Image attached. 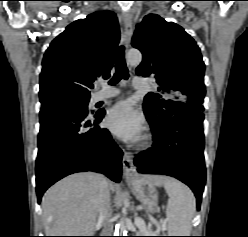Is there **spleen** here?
<instances>
[{
    "instance_id": "3e777b00",
    "label": "spleen",
    "mask_w": 248,
    "mask_h": 237,
    "mask_svg": "<svg viewBox=\"0 0 248 237\" xmlns=\"http://www.w3.org/2000/svg\"><path fill=\"white\" fill-rule=\"evenodd\" d=\"M164 188L169 196L166 208L169 236H190L192 218L196 210L191 190L172 178L164 181Z\"/></svg>"
}]
</instances>
